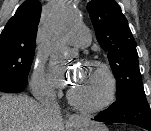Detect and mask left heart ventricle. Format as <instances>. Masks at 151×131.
<instances>
[{
  "instance_id": "b2bd125f",
  "label": "left heart ventricle",
  "mask_w": 151,
  "mask_h": 131,
  "mask_svg": "<svg viewBox=\"0 0 151 131\" xmlns=\"http://www.w3.org/2000/svg\"><path fill=\"white\" fill-rule=\"evenodd\" d=\"M106 88V77L101 70L94 67H82L71 91L85 102H95L104 96Z\"/></svg>"
}]
</instances>
